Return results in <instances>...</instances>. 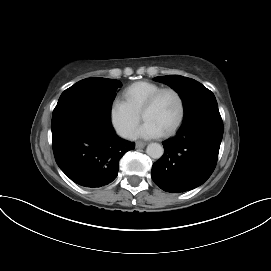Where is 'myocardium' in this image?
Returning <instances> with one entry per match:
<instances>
[{"mask_svg":"<svg viewBox=\"0 0 271 271\" xmlns=\"http://www.w3.org/2000/svg\"><path fill=\"white\" fill-rule=\"evenodd\" d=\"M172 93L175 95V97L177 98L178 101V105H179V113H178V117L177 120L175 121V123L173 124V126L166 131L165 133H163L164 136H171L173 135L181 126L183 120H184V116H185V103H184V99L181 95V93L172 87H166V88H161L158 91H156L155 93H153L148 99L147 101L144 103L142 109H141V117L143 118L144 114L149 111L151 108L154 107V105L156 104V102L158 101L159 97L164 94V93Z\"/></svg>","mask_w":271,"mask_h":271,"instance_id":"f54148a6","label":"myocardium"}]
</instances>
